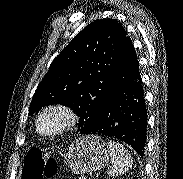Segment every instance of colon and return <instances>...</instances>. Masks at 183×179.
<instances>
[{"instance_id": "5ec220e1", "label": "colon", "mask_w": 183, "mask_h": 179, "mask_svg": "<svg viewBox=\"0 0 183 179\" xmlns=\"http://www.w3.org/2000/svg\"><path fill=\"white\" fill-rule=\"evenodd\" d=\"M56 170V162L49 153L38 148L30 149L24 160L23 179H50Z\"/></svg>"}]
</instances>
